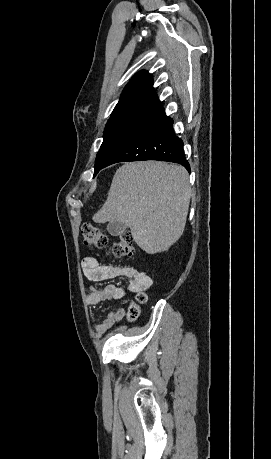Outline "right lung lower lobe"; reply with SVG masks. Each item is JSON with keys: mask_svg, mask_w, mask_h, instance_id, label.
Instances as JSON below:
<instances>
[{"mask_svg": "<svg viewBox=\"0 0 271 459\" xmlns=\"http://www.w3.org/2000/svg\"><path fill=\"white\" fill-rule=\"evenodd\" d=\"M159 160L190 166L183 151V141L173 131V120L159 114L134 134L105 164L122 161Z\"/></svg>", "mask_w": 271, "mask_h": 459, "instance_id": "obj_1", "label": "right lung lower lobe"}]
</instances>
